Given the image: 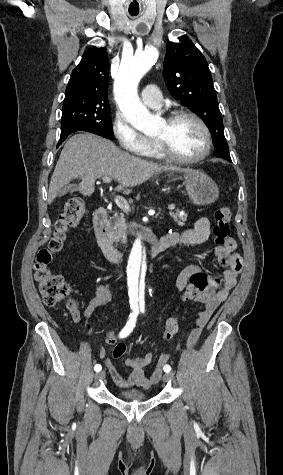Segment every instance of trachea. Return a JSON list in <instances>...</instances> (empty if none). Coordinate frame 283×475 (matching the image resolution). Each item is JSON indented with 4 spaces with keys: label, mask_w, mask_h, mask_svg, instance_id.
I'll list each match as a JSON object with an SVG mask.
<instances>
[{
    "label": "trachea",
    "mask_w": 283,
    "mask_h": 475,
    "mask_svg": "<svg viewBox=\"0 0 283 475\" xmlns=\"http://www.w3.org/2000/svg\"><path fill=\"white\" fill-rule=\"evenodd\" d=\"M130 15L136 16V15H138V12L137 13H130Z\"/></svg>",
    "instance_id": "3493384b"
}]
</instances>
